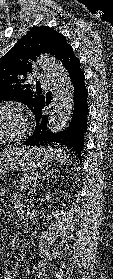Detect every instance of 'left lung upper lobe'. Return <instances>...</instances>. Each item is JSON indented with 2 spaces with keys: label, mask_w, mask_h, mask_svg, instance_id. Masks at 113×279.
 Here are the masks:
<instances>
[{
  "label": "left lung upper lobe",
  "mask_w": 113,
  "mask_h": 279,
  "mask_svg": "<svg viewBox=\"0 0 113 279\" xmlns=\"http://www.w3.org/2000/svg\"><path fill=\"white\" fill-rule=\"evenodd\" d=\"M71 49L65 37L54 29L46 26L32 28L0 58V102L18 100L33 111L44 97L38 82L34 91L27 81L35 70L37 56L47 53L62 62Z\"/></svg>",
  "instance_id": "5c2ea615"
}]
</instances>
